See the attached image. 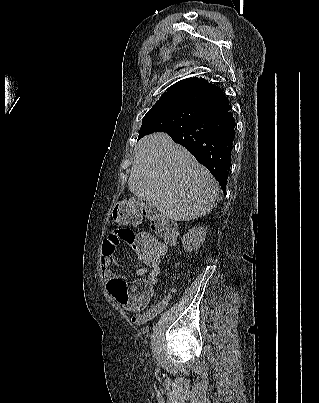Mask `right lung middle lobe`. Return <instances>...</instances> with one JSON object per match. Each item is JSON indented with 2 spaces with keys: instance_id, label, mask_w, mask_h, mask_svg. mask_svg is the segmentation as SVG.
I'll list each match as a JSON object with an SVG mask.
<instances>
[{
  "instance_id": "dd1d6c3e",
  "label": "right lung middle lobe",
  "mask_w": 319,
  "mask_h": 403,
  "mask_svg": "<svg viewBox=\"0 0 319 403\" xmlns=\"http://www.w3.org/2000/svg\"><path fill=\"white\" fill-rule=\"evenodd\" d=\"M208 114H211L210 109L190 102L155 104L142 120L138 140L166 127L185 125Z\"/></svg>"
}]
</instances>
